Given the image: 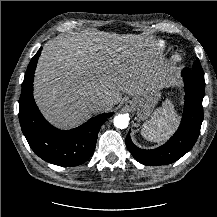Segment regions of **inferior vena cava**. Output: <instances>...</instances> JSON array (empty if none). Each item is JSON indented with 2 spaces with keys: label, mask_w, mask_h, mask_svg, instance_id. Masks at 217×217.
<instances>
[{
  "label": "inferior vena cava",
  "mask_w": 217,
  "mask_h": 217,
  "mask_svg": "<svg viewBox=\"0 0 217 217\" xmlns=\"http://www.w3.org/2000/svg\"><path fill=\"white\" fill-rule=\"evenodd\" d=\"M107 103H108V100L106 99H102V100L95 99L90 102L89 108L93 113H97V112L104 110Z\"/></svg>",
  "instance_id": "obj_1"
}]
</instances>
